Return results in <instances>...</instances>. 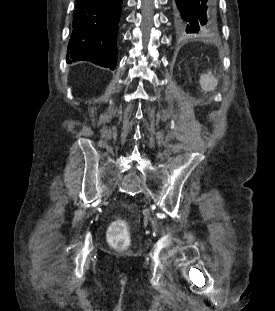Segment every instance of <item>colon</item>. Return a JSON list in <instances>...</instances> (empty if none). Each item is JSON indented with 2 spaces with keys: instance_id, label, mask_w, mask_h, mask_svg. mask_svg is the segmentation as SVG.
Returning <instances> with one entry per match:
<instances>
[{
  "instance_id": "obj_1",
  "label": "colon",
  "mask_w": 275,
  "mask_h": 311,
  "mask_svg": "<svg viewBox=\"0 0 275 311\" xmlns=\"http://www.w3.org/2000/svg\"><path fill=\"white\" fill-rule=\"evenodd\" d=\"M111 229V241L113 244L119 247H125L129 244L127 230L122 221L114 222Z\"/></svg>"
}]
</instances>
